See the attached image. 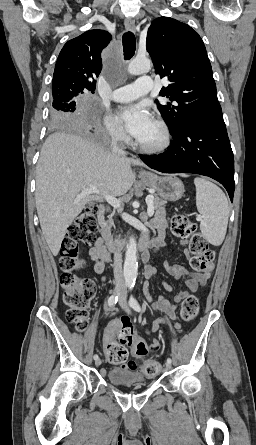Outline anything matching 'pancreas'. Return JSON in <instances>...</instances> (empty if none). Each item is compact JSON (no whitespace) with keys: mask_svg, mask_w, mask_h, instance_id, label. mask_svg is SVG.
I'll return each instance as SVG.
<instances>
[{"mask_svg":"<svg viewBox=\"0 0 256 445\" xmlns=\"http://www.w3.org/2000/svg\"><path fill=\"white\" fill-rule=\"evenodd\" d=\"M165 205H166V201H164L161 198H158L156 196H153V207L156 211L157 217L165 218V215H166ZM100 226L102 228V234L105 236H110L111 227L114 226L113 222L111 220L101 221Z\"/></svg>","mask_w":256,"mask_h":445,"instance_id":"cf45deb5","label":"pancreas"}]
</instances>
